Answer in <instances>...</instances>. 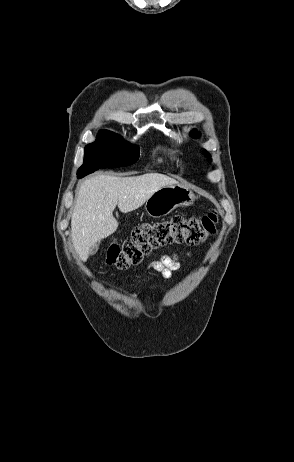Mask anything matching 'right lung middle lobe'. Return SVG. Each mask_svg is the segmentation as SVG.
I'll return each instance as SVG.
<instances>
[{"label":"right lung middle lobe","mask_w":294,"mask_h":462,"mask_svg":"<svg viewBox=\"0 0 294 462\" xmlns=\"http://www.w3.org/2000/svg\"><path fill=\"white\" fill-rule=\"evenodd\" d=\"M98 153H105L116 158L118 167H120L137 161L139 147L127 143L118 134L102 130L99 132L96 141L85 147L84 162L78 170V176L90 169L91 158Z\"/></svg>","instance_id":"dd1d6c3e"}]
</instances>
